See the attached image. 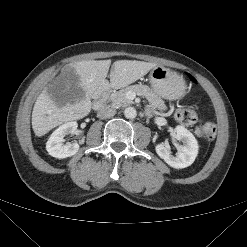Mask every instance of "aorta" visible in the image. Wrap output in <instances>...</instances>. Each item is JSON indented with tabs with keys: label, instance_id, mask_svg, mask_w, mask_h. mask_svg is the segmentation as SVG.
Segmentation results:
<instances>
[{
	"label": "aorta",
	"instance_id": "aorta-1",
	"mask_svg": "<svg viewBox=\"0 0 247 247\" xmlns=\"http://www.w3.org/2000/svg\"><path fill=\"white\" fill-rule=\"evenodd\" d=\"M124 116L127 118V119H133L137 116V111L134 107H127L125 110H124Z\"/></svg>",
	"mask_w": 247,
	"mask_h": 247
}]
</instances>
